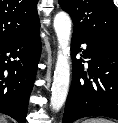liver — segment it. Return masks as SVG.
<instances>
[{"label":"liver","mask_w":118,"mask_h":123,"mask_svg":"<svg viewBox=\"0 0 118 123\" xmlns=\"http://www.w3.org/2000/svg\"><path fill=\"white\" fill-rule=\"evenodd\" d=\"M0 123H7V120L4 116H0Z\"/></svg>","instance_id":"liver-1"}]
</instances>
